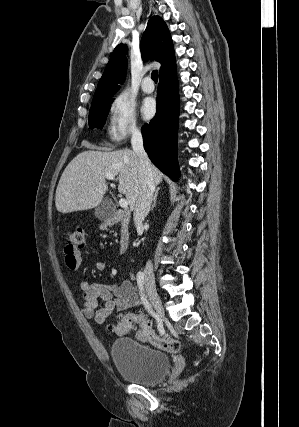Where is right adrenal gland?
<instances>
[{"instance_id": "2a0ac1e0", "label": "right adrenal gland", "mask_w": 299, "mask_h": 427, "mask_svg": "<svg viewBox=\"0 0 299 427\" xmlns=\"http://www.w3.org/2000/svg\"><path fill=\"white\" fill-rule=\"evenodd\" d=\"M158 191H159V188H157V189H156V191H155L154 198H153V204H152L151 210H153V209L156 207Z\"/></svg>"}]
</instances>
